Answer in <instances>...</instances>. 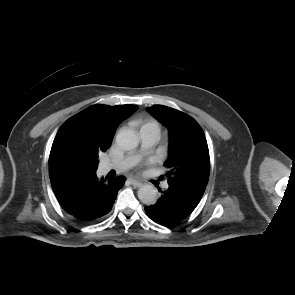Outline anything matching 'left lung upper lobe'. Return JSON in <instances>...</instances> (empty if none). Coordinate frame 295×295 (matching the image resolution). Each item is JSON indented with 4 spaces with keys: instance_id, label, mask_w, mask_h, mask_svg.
I'll list each match as a JSON object with an SVG mask.
<instances>
[{
    "instance_id": "left-lung-upper-lobe-1",
    "label": "left lung upper lobe",
    "mask_w": 295,
    "mask_h": 295,
    "mask_svg": "<svg viewBox=\"0 0 295 295\" xmlns=\"http://www.w3.org/2000/svg\"><path fill=\"white\" fill-rule=\"evenodd\" d=\"M146 110L169 131L168 157L164 162L168 183L205 191L210 157L200 125L191 116L167 106L154 105Z\"/></svg>"
}]
</instances>
